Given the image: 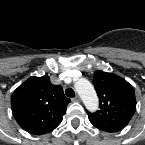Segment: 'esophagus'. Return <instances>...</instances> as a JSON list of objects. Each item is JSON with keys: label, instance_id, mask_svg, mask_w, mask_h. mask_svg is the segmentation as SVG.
Returning <instances> with one entry per match:
<instances>
[{"label": "esophagus", "instance_id": "1", "mask_svg": "<svg viewBox=\"0 0 145 145\" xmlns=\"http://www.w3.org/2000/svg\"><path fill=\"white\" fill-rule=\"evenodd\" d=\"M72 101H74V102H81V98H80V96H76V97H74L73 99H72Z\"/></svg>", "mask_w": 145, "mask_h": 145}]
</instances>
